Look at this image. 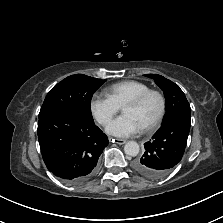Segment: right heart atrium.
I'll return each mask as SVG.
<instances>
[{"instance_id": "right-heart-atrium-1", "label": "right heart atrium", "mask_w": 223, "mask_h": 223, "mask_svg": "<svg viewBox=\"0 0 223 223\" xmlns=\"http://www.w3.org/2000/svg\"><path fill=\"white\" fill-rule=\"evenodd\" d=\"M90 109L97 122L105 126L118 113L120 107L108 95L95 93L90 101Z\"/></svg>"}]
</instances>
